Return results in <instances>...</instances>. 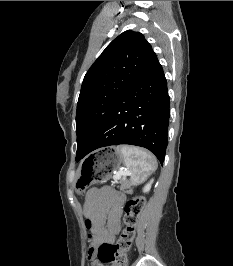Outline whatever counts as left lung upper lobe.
<instances>
[{"label":"left lung upper lobe","mask_w":233,"mask_h":266,"mask_svg":"<svg viewBox=\"0 0 233 266\" xmlns=\"http://www.w3.org/2000/svg\"><path fill=\"white\" fill-rule=\"evenodd\" d=\"M153 53L143 34L128 30L115 38L90 67L77 103L76 160L90 145L115 103Z\"/></svg>","instance_id":"obj_1"}]
</instances>
